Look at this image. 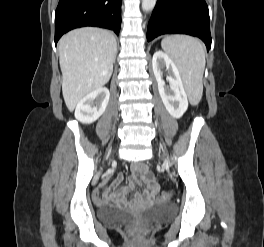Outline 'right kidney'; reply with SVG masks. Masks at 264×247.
<instances>
[{
	"label": "right kidney",
	"mask_w": 264,
	"mask_h": 247,
	"mask_svg": "<svg viewBox=\"0 0 264 247\" xmlns=\"http://www.w3.org/2000/svg\"><path fill=\"white\" fill-rule=\"evenodd\" d=\"M109 97V90L105 87L90 92L77 104L75 118L84 124L95 122L105 112Z\"/></svg>",
	"instance_id": "1"
}]
</instances>
